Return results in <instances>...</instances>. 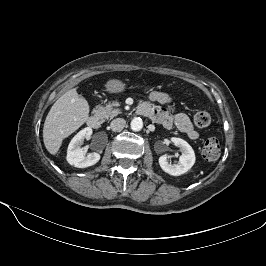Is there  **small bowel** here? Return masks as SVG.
<instances>
[{
    "mask_svg": "<svg viewBox=\"0 0 266 266\" xmlns=\"http://www.w3.org/2000/svg\"><path fill=\"white\" fill-rule=\"evenodd\" d=\"M171 102L172 99L168 94L153 91L149 95V101L141 104L138 108V112L165 128H171L175 125L177 129L184 133L189 139L197 140L199 138V133L193 127L190 118L185 113L177 112L171 116L165 108L154 104H169Z\"/></svg>",
    "mask_w": 266,
    "mask_h": 266,
    "instance_id": "small-bowel-1",
    "label": "small bowel"
}]
</instances>
